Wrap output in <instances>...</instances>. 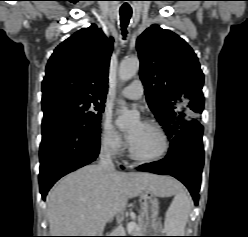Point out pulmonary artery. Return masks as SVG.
Wrapping results in <instances>:
<instances>
[{"instance_id": "1", "label": "pulmonary artery", "mask_w": 248, "mask_h": 237, "mask_svg": "<svg viewBox=\"0 0 248 237\" xmlns=\"http://www.w3.org/2000/svg\"><path fill=\"white\" fill-rule=\"evenodd\" d=\"M144 93L143 84L139 79L134 80L130 85L121 90V94L132 100L141 99Z\"/></svg>"}]
</instances>
